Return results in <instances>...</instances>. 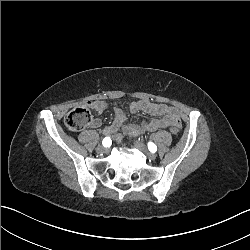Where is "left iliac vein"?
Here are the masks:
<instances>
[{
	"instance_id": "obj_1",
	"label": "left iliac vein",
	"mask_w": 250,
	"mask_h": 250,
	"mask_svg": "<svg viewBox=\"0 0 250 250\" xmlns=\"http://www.w3.org/2000/svg\"><path fill=\"white\" fill-rule=\"evenodd\" d=\"M134 145H135V147H136L137 149H139L142 153H144L145 156H146L148 159L154 160V159L156 158V155L153 154V153H151V152H149V151L147 150L146 146H145L142 142H140L139 140L134 141Z\"/></svg>"
}]
</instances>
